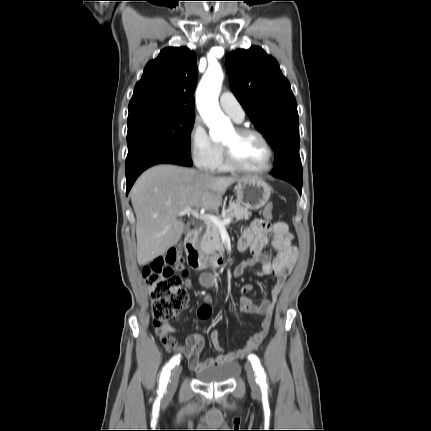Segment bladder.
<instances>
[{
	"label": "bladder",
	"instance_id": "bladder-1",
	"mask_svg": "<svg viewBox=\"0 0 431 431\" xmlns=\"http://www.w3.org/2000/svg\"><path fill=\"white\" fill-rule=\"evenodd\" d=\"M240 370L237 362H229L197 371L196 378L203 383L222 384L234 380L240 374Z\"/></svg>",
	"mask_w": 431,
	"mask_h": 431
}]
</instances>
